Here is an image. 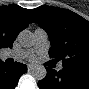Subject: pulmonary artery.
Returning <instances> with one entry per match:
<instances>
[{"mask_svg":"<svg viewBox=\"0 0 89 89\" xmlns=\"http://www.w3.org/2000/svg\"><path fill=\"white\" fill-rule=\"evenodd\" d=\"M34 38L37 47H43L47 44V33L42 29H37L34 32ZM61 67L62 66H59V69H61Z\"/></svg>","mask_w":89,"mask_h":89,"instance_id":"pulmonary-artery-1","label":"pulmonary artery"}]
</instances>
